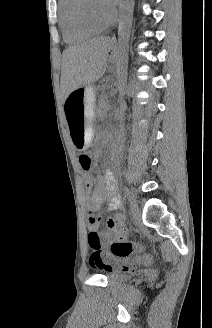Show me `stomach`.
<instances>
[{"instance_id":"1","label":"stomach","mask_w":212,"mask_h":328,"mask_svg":"<svg viewBox=\"0 0 212 328\" xmlns=\"http://www.w3.org/2000/svg\"><path fill=\"white\" fill-rule=\"evenodd\" d=\"M66 123L72 143L78 151L85 150L93 136V116H95V92L91 85L79 87L65 99Z\"/></svg>"}]
</instances>
